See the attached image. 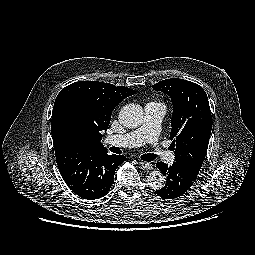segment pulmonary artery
Masks as SVG:
<instances>
[{
  "mask_svg": "<svg viewBox=\"0 0 255 255\" xmlns=\"http://www.w3.org/2000/svg\"><path fill=\"white\" fill-rule=\"evenodd\" d=\"M144 111L143 122L137 129L123 135H109L107 140L129 147H137L146 143H152L156 145L157 156L165 162L172 164L175 160V155L167 151L164 147L157 145L161 122L166 113L165 106L161 103L151 102L146 104Z\"/></svg>",
  "mask_w": 255,
  "mask_h": 255,
  "instance_id": "1",
  "label": "pulmonary artery"
}]
</instances>
